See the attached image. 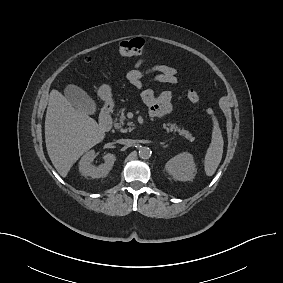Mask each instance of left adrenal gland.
I'll list each match as a JSON object with an SVG mask.
<instances>
[{
	"instance_id": "a2214340",
	"label": "left adrenal gland",
	"mask_w": 283,
	"mask_h": 283,
	"mask_svg": "<svg viewBox=\"0 0 283 283\" xmlns=\"http://www.w3.org/2000/svg\"><path fill=\"white\" fill-rule=\"evenodd\" d=\"M162 147H163V148H167V147H168V144H166V145H163Z\"/></svg>"
}]
</instances>
